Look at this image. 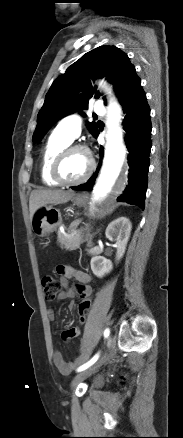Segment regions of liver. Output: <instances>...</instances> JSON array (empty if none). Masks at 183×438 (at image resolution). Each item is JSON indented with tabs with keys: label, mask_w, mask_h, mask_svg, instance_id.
<instances>
[{
	"label": "liver",
	"mask_w": 183,
	"mask_h": 438,
	"mask_svg": "<svg viewBox=\"0 0 183 438\" xmlns=\"http://www.w3.org/2000/svg\"><path fill=\"white\" fill-rule=\"evenodd\" d=\"M75 193L72 190H35L31 193L29 199L30 218L32 219L36 210L44 205L64 204L74 197Z\"/></svg>",
	"instance_id": "6515ba94"
}]
</instances>
